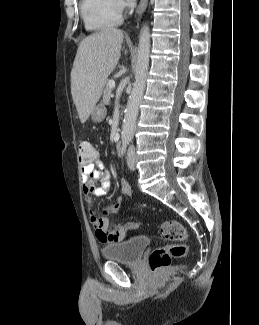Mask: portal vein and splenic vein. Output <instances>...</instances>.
I'll return each instance as SVG.
<instances>
[{
	"mask_svg": "<svg viewBox=\"0 0 259 325\" xmlns=\"http://www.w3.org/2000/svg\"><path fill=\"white\" fill-rule=\"evenodd\" d=\"M109 85H110L111 88H114L115 87V81H110Z\"/></svg>",
	"mask_w": 259,
	"mask_h": 325,
	"instance_id": "obj_1",
	"label": "portal vein and splenic vein"
}]
</instances>
